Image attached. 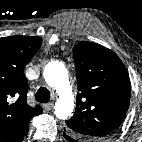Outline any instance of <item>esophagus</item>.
I'll list each match as a JSON object with an SVG mask.
<instances>
[{
	"label": "esophagus",
	"mask_w": 142,
	"mask_h": 142,
	"mask_svg": "<svg viewBox=\"0 0 142 142\" xmlns=\"http://www.w3.org/2000/svg\"><path fill=\"white\" fill-rule=\"evenodd\" d=\"M52 107H53V103L52 102H49V103H47V104H45L43 106L45 111H50L52 109Z\"/></svg>",
	"instance_id": "1"
}]
</instances>
